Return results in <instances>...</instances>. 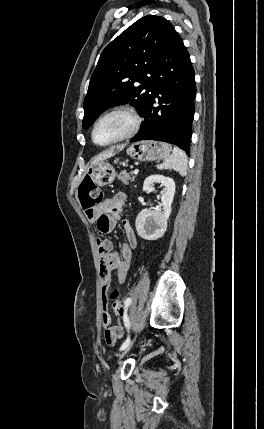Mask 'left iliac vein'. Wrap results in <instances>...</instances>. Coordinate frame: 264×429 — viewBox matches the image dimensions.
Returning <instances> with one entry per match:
<instances>
[{
    "label": "left iliac vein",
    "mask_w": 264,
    "mask_h": 429,
    "mask_svg": "<svg viewBox=\"0 0 264 429\" xmlns=\"http://www.w3.org/2000/svg\"><path fill=\"white\" fill-rule=\"evenodd\" d=\"M139 333L137 332L136 334H135V338L133 339L135 342L138 340L137 338L139 337ZM132 344H133V342H131V343H129V345L124 349V351L119 355V360H121L123 357H124V355L128 352V350L131 348V346H132Z\"/></svg>",
    "instance_id": "1"
}]
</instances>
